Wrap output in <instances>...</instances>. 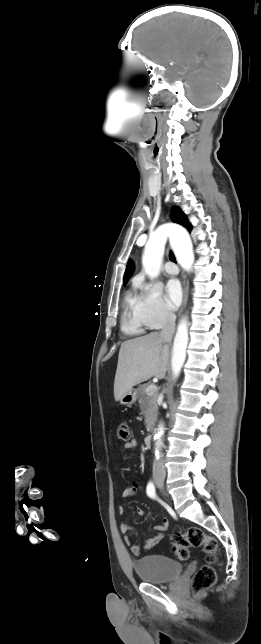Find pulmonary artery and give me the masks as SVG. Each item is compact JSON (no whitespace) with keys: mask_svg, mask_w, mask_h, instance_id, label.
<instances>
[{"mask_svg":"<svg viewBox=\"0 0 261 644\" xmlns=\"http://www.w3.org/2000/svg\"><path fill=\"white\" fill-rule=\"evenodd\" d=\"M164 269L170 275H176L178 273V271H179L177 265L172 263V262H167L164 265Z\"/></svg>","mask_w":261,"mask_h":644,"instance_id":"pulmonary-artery-1","label":"pulmonary artery"}]
</instances>
